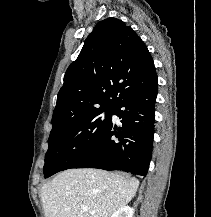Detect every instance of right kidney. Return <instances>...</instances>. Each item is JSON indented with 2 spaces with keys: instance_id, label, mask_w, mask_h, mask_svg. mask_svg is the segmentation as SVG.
Instances as JSON below:
<instances>
[{
  "instance_id": "ca27d5eb",
  "label": "right kidney",
  "mask_w": 211,
  "mask_h": 217,
  "mask_svg": "<svg viewBox=\"0 0 211 217\" xmlns=\"http://www.w3.org/2000/svg\"><path fill=\"white\" fill-rule=\"evenodd\" d=\"M134 210L130 206H123L112 214L111 217H133Z\"/></svg>"
}]
</instances>
